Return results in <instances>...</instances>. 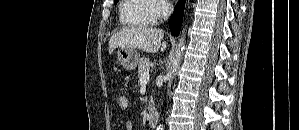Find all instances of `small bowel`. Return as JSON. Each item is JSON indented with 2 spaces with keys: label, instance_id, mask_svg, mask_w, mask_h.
Masks as SVG:
<instances>
[{
  "label": "small bowel",
  "instance_id": "obj_1",
  "mask_svg": "<svg viewBox=\"0 0 299 130\" xmlns=\"http://www.w3.org/2000/svg\"><path fill=\"white\" fill-rule=\"evenodd\" d=\"M125 129L126 130H133L134 129V124L132 121H127L125 124Z\"/></svg>",
  "mask_w": 299,
  "mask_h": 130
}]
</instances>
